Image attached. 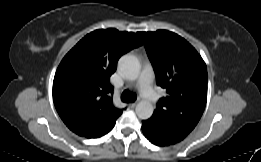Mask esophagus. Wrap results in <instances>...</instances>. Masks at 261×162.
<instances>
[{"instance_id":"1","label":"esophagus","mask_w":261,"mask_h":162,"mask_svg":"<svg viewBox=\"0 0 261 162\" xmlns=\"http://www.w3.org/2000/svg\"><path fill=\"white\" fill-rule=\"evenodd\" d=\"M137 104H138V102L131 103V104H130V107L134 108V107L137 106Z\"/></svg>"}]
</instances>
